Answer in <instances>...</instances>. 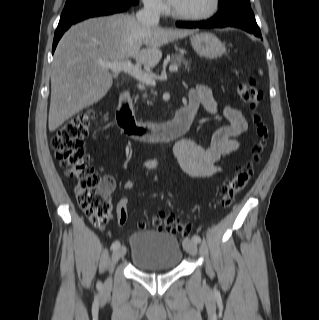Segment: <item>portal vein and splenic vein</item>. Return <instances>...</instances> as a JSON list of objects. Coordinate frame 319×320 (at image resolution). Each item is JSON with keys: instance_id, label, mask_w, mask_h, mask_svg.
<instances>
[{"instance_id": "1", "label": "portal vein and splenic vein", "mask_w": 319, "mask_h": 320, "mask_svg": "<svg viewBox=\"0 0 319 320\" xmlns=\"http://www.w3.org/2000/svg\"><path fill=\"white\" fill-rule=\"evenodd\" d=\"M100 65L102 67L112 70L114 73H120V72L128 73L147 85H153V86L156 85V81L155 79H153L152 76L142 71V69L139 66L133 65L129 60H126L123 62H101ZM169 71L177 72L178 67L170 66Z\"/></svg>"}]
</instances>
